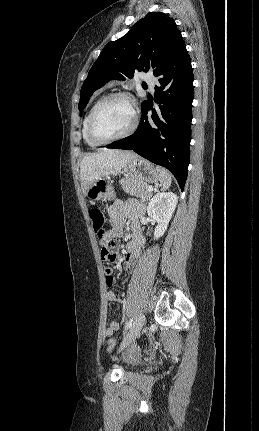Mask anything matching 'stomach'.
<instances>
[{"mask_svg":"<svg viewBox=\"0 0 259 431\" xmlns=\"http://www.w3.org/2000/svg\"><path fill=\"white\" fill-rule=\"evenodd\" d=\"M123 171L134 178L142 180L146 184H156L160 181V176L156 167L139 156L129 161L125 165ZM86 196L91 201H111L115 199L116 194L109 181L100 179L95 181L88 188Z\"/></svg>","mask_w":259,"mask_h":431,"instance_id":"stomach-1","label":"stomach"}]
</instances>
